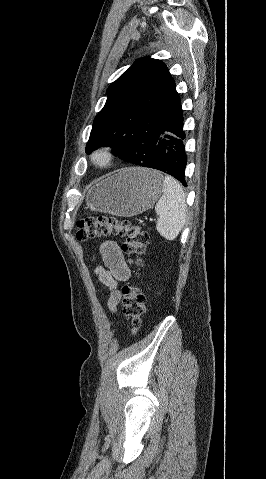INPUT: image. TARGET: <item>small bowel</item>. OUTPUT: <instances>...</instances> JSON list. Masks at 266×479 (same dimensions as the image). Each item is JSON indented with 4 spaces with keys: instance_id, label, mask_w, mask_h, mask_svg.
<instances>
[{
    "instance_id": "c3829d8e",
    "label": "small bowel",
    "mask_w": 266,
    "mask_h": 479,
    "mask_svg": "<svg viewBox=\"0 0 266 479\" xmlns=\"http://www.w3.org/2000/svg\"><path fill=\"white\" fill-rule=\"evenodd\" d=\"M100 254L104 265L95 268L98 280L109 290L107 306L115 312L121 299L118 283L130 277V270L118 244L114 241H105L100 246Z\"/></svg>"
}]
</instances>
